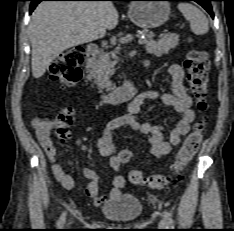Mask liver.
Segmentation results:
<instances>
[{
    "mask_svg": "<svg viewBox=\"0 0 234 231\" xmlns=\"http://www.w3.org/2000/svg\"><path fill=\"white\" fill-rule=\"evenodd\" d=\"M117 24L118 12L111 2H41L29 24L33 77H42L65 50L99 39Z\"/></svg>",
    "mask_w": 234,
    "mask_h": 231,
    "instance_id": "6515ba94",
    "label": "liver"
}]
</instances>
